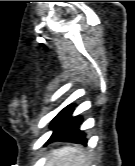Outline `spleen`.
Here are the masks:
<instances>
[{
    "mask_svg": "<svg viewBox=\"0 0 135 166\" xmlns=\"http://www.w3.org/2000/svg\"><path fill=\"white\" fill-rule=\"evenodd\" d=\"M86 161L82 149L67 146L53 150L46 166H88Z\"/></svg>",
    "mask_w": 135,
    "mask_h": 166,
    "instance_id": "spleen-1",
    "label": "spleen"
}]
</instances>
